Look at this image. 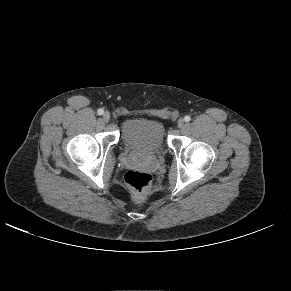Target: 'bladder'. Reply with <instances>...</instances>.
I'll return each mask as SVG.
<instances>
[{
    "label": "bladder",
    "instance_id": "bladder-1",
    "mask_svg": "<svg viewBox=\"0 0 291 291\" xmlns=\"http://www.w3.org/2000/svg\"><path fill=\"white\" fill-rule=\"evenodd\" d=\"M121 140L130 150L158 151L166 141L165 126L155 118H130L122 125Z\"/></svg>",
    "mask_w": 291,
    "mask_h": 291
}]
</instances>
